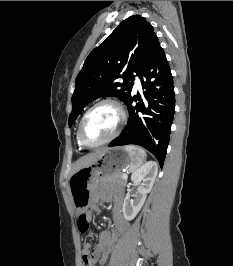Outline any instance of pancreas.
<instances>
[{
    "label": "pancreas",
    "instance_id": "obj_1",
    "mask_svg": "<svg viewBox=\"0 0 233 266\" xmlns=\"http://www.w3.org/2000/svg\"><path fill=\"white\" fill-rule=\"evenodd\" d=\"M105 183H114L117 185L124 186L126 184V180L122 178V173H112L105 176Z\"/></svg>",
    "mask_w": 233,
    "mask_h": 266
}]
</instances>
